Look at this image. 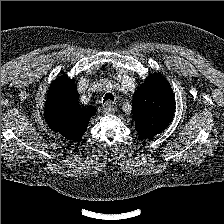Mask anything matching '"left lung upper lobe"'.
I'll list each match as a JSON object with an SVG mask.
<instances>
[{
    "label": "left lung upper lobe",
    "mask_w": 224,
    "mask_h": 224,
    "mask_svg": "<svg viewBox=\"0 0 224 224\" xmlns=\"http://www.w3.org/2000/svg\"><path fill=\"white\" fill-rule=\"evenodd\" d=\"M135 129L142 139H152L171 122L175 98L169 83L158 73L145 79L133 95Z\"/></svg>",
    "instance_id": "5c2ea615"
}]
</instances>
